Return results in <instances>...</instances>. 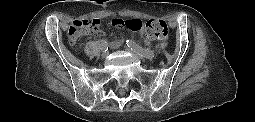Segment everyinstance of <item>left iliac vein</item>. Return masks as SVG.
I'll use <instances>...</instances> for the list:
<instances>
[{
    "label": "left iliac vein",
    "instance_id": "4c4485c4",
    "mask_svg": "<svg viewBox=\"0 0 255 122\" xmlns=\"http://www.w3.org/2000/svg\"><path fill=\"white\" fill-rule=\"evenodd\" d=\"M126 50L131 52L133 55H135L137 58L143 60L144 59V56H142L140 53H138L137 51L133 50L132 48L130 47H126Z\"/></svg>",
    "mask_w": 255,
    "mask_h": 122
}]
</instances>
